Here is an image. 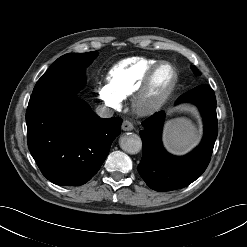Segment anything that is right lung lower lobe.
Instances as JSON below:
<instances>
[{
  "label": "right lung lower lobe",
  "mask_w": 247,
  "mask_h": 247,
  "mask_svg": "<svg viewBox=\"0 0 247 247\" xmlns=\"http://www.w3.org/2000/svg\"><path fill=\"white\" fill-rule=\"evenodd\" d=\"M28 148L42 174L61 186L89 181L121 133L122 119L100 118L75 96L29 101Z\"/></svg>",
  "instance_id": "obj_1"
}]
</instances>
